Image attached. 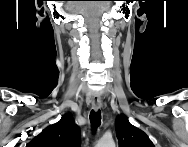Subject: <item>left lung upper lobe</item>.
I'll list each match as a JSON object with an SVG mask.
<instances>
[{"label": "left lung upper lobe", "instance_id": "1", "mask_svg": "<svg viewBox=\"0 0 188 147\" xmlns=\"http://www.w3.org/2000/svg\"><path fill=\"white\" fill-rule=\"evenodd\" d=\"M116 136L119 140V147H154L149 137L142 130L130 124L124 115L116 119Z\"/></svg>", "mask_w": 188, "mask_h": 147}]
</instances>
